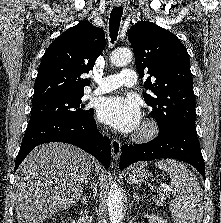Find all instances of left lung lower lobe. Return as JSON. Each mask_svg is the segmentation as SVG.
<instances>
[{
    "label": "left lung lower lobe",
    "mask_w": 221,
    "mask_h": 223,
    "mask_svg": "<svg viewBox=\"0 0 221 223\" xmlns=\"http://www.w3.org/2000/svg\"><path fill=\"white\" fill-rule=\"evenodd\" d=\"M159 158H174L194 166L205 179V165L197 139L195 124H175L166 133L150 142L123 145L120 169L137 161H151Z\"/></svg>",
    "instance_id": "obj_1"
}]
</instances>
